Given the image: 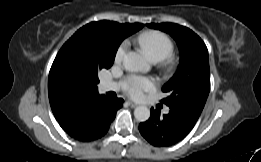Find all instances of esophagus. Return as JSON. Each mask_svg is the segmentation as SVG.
Instances as JSON below:
<instances>
[{
    "label": "esophagus",
    "mask_w": 261,
    "mask_h": 162,
    "mask_svg": "<svg viewBox=\"0 0 261 162\" xmlns=\"http://www.w3.org/2000/svg\"><path fill=\"white\" fill-rule=\"evenodd\" d=\"M127 103L132 107V108H135L137 107L138 105L130 100L127 101Z\"/></svg>",
    "instance_id": "obj_1"
}]
</instances>
